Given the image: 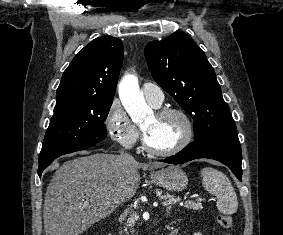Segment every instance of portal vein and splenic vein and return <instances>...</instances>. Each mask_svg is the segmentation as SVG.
<instances>
[{"instance_id": "portal-vein-and-splenic-vein-1", "label": "portal vein and splenic vein", "mask_w": 283, "mask_h": 235, "mask_svg": "<svg viewBox=\"0 0 283 235\" xmlns=\"http://www.w3.org/2000/svg\"><path fill=\"white\" fill-rule=\"evenodd\" d=\"M179 200H180L179 197H178V198H172L171 200L165 201V202H163L162 204H163V205H167V204L170 203V202H175V201H179Z\"/></svg>"}]
</instances>
